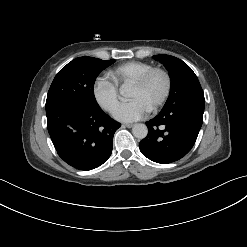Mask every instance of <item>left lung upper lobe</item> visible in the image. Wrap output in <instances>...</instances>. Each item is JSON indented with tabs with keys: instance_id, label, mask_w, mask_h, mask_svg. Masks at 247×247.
Instances as JSON below:
<instances>
[{
	"instance_id": "obj_1",
	"label": "left lung upper lobe",
	"mask_w": 247,
	"mask_h": 247,
	"mask_svg": "<svg viewBox=\"0 0 247 247\" xmlns=\"http://www.w3.org/2000/svg\"><path fill=\"white\" fill-rule=\"evenodd\" d=\"M153 58L165 66L171 79L170 95L162 111L191 100L205 101L198 78L186 63L166 54L155 55Z\"/></svg>"
}]
</instances>
